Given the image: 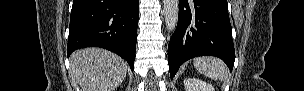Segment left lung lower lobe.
I'll list each match as a JSON object with an SVG mask.
<instances>
[{
    "label": "left lung lower lobe",
    "mask_w": 304,
    "mask_h": 91,
    "mask_svg": "<svg viewBox=\"0 0 304 91\" xmlns=\"http://www.w3.org/2000/svg\"><path fill=\"white\" fill-rule=\"evenodd\" d=\"M179 20L168 46L170 77L187 60L211 55L230 68L235 61L226 0H179Z\"/></svg>",
    "instance_id": "obj_1"
}]
</instances>
